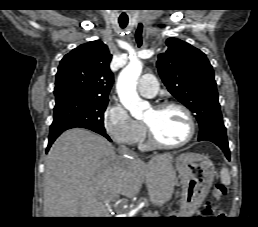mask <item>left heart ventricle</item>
I'll use <instances>...</instances> for the list:
<instances>
[{"label": "left heart ventricle", "instance_id": "left-heart-ventricle-1", "mask_svg": "<svg viewBox=\"0 0 258 227\" xmlns=\"http://www.w3.org/2000/svg\"><path fill=\"white\" fill-rule=\"evenodd\" d=\"M158 138L166 143H177L189 133V123L185 114L178 108L155 110L151 108L144 116Z\"/></svg>", "mask_w": 258, "mask_h": 227}]
</instances>
